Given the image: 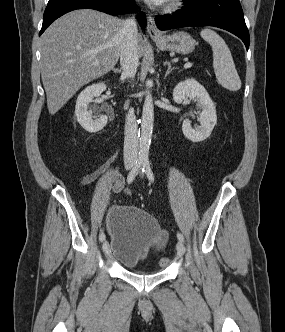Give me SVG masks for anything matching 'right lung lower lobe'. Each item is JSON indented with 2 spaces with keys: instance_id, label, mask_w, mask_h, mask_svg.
I'll return each mask as SVG.
<instances>
[{
  "instance_id": "1",
  "label": "right lung lower lobe",
  "mask_w": 285,
  "mask_h": 332,
  "mask_svg": "<svg viewBox=\"0 0 285 332\" xmlns=\"http://www.w3.org/2000/svg\"><path fill=\"white\" fill-rule=\"evenodd\" d=\"M133 0H49L43 16L39 35L57 18L76 9H95L111 15L125 14L134 11ZM140 25L145 28L146 16L143 12L137 15Z\"/></svg>"
}]
</instances>
